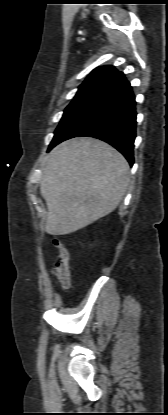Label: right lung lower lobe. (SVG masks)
<instances>
[{"label":"right lung lower lobe","mask_w":168,"mask_h":415,"mask_svg":"<svg viewBox=\"0 0 168 415\" xmlns=\"http://www.w3.org/2000/svg\"><path fill=\"white\" fill-rule=\"evenodd\" d=\"M135 105L132 87L123 78L74 114L55 134L48 150L73 137H94L115 147L132 166L136 137Z\"/></svg>","instance_id":"98d812e1"}]
</instances>
